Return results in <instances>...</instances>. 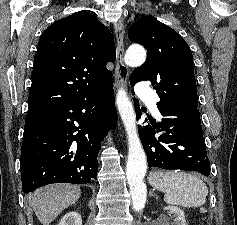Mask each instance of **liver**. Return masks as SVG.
Masks as SVG:
<instances>
[{"instance_id":"6515ba94","label":"liver","mask_w":237,"mask_h":225,"mask_svg":"<svg viewBox=\"0 0 237 225\" xmlns=\"http://www.w3.org/2000/svg\"><path fill=\"white\" fill-rule=\"evenodd\" d=\"M81 196L79 186L53 184L41 187L29 194V205L42 225L51 222L67 207L74 204Z\"/></svg>"}]
</instances>
